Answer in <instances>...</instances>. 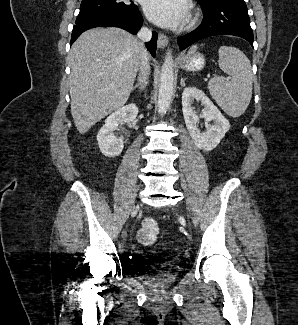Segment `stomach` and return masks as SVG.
<instances>
[{"instance_id": "1", "label": "stomach", "mask_w": 298, "mask_h": 325, "mask_svg": "<svg viewBox=\"0 0 298 325\" xmlns=\"http://www.w3.org/2000/svg\"><path fill=\"white\" fill-rule=\"evenodd\" d=\"M206 64V58L201 52H193V54H184L180 60V68L189 70V72H196V70H203Z\"/></svg>"}]
</instances>
